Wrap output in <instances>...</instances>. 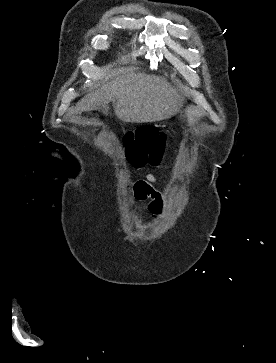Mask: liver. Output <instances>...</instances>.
Here are the masks:
<instances>
[{"instance_id":"liver-1","label":"liver","mask_w":276,"mask_h":363,"mask_svg":"<svg viewBox=\"0 0 276 363\" xmlns=\"http://www.w3.org/2000/svg\"><path fill=\"white\" fill-rule=\"evenodd\" d=\"M110 102L116 116L127 123H145L168 119L179 111L181 98L163 78L128 72L125 68L113 74V80L85 95L77 110L91 111Z\"/></svg>"}]
</instances>
